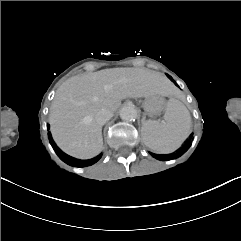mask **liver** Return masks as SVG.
<instances>
[{"mask_svg":"<svg viewBox=\"0 0 241 241\" xmlns=\"http://www.w3.org/2000/svg\"><path fill=\"white\" fill-rule=\"evenodd\" d=\"M169 81L159 72L116 68L77 75L56 91L50 108L51 131L58 146L70 155L90 158L103 148L102 126L96 114L116 112L126 98L168 96Z\"/></svg>","mask_w":241,"mask_h":241,"instance_id":"6515ba94","label":"liver"}]
</instances>
